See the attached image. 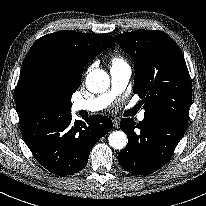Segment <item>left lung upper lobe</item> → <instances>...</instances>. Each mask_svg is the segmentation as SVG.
Returning <instances> with one entry per match:
<instances>
[{
    "label": "left lung upper lobe",
    "instance_id": "1",
    "mask_svg": "<svg viewBox=\"0 0 206 206\" xmlns=\"http://www.w3.org/2000/svg\"><path fill=\"white\" fill-rule=\"evenodd\" d=\"M114 38L134 59V93L143 99L144 115L188 122L192 86L176 42L158 30H136Z\"/></svg>",
    "mask_w": 206,
    "mask_h": 206
}]
</instances>
